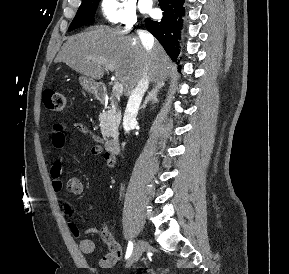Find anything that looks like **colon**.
<instances>
[{
	"label": "colon",
	"mask_w": 289,
	"mask_h": 274,
	"mask_svg": "<svg viewBox=\"0 0 289 274\" xmlns=\"http://www.w3.org/2000/svg\"><path fill=\"white\" fill-rule=\"evenodd\" d=\"M43 102L45 107L54 112H61L67 106V98L64 94L54 91V90H45L43 92ZM107 232V231H102Z\"/></svg>",
	"instance_id": "obj_1"
}]
</instances>
